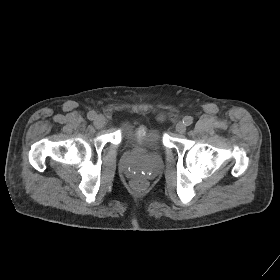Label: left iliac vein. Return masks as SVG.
Here are the masks:
<instances>
[{
  "mask_svg": "<svg viewBox=\"0 0 280 280\" xmlns=\"http://www.w3.org/2000/svg\"><path fill=\"white\" fill-rule=\"evenodd\" d=\"M176 131L179 133V134H184L186 132V125L182 122V121H179L177 124H176Z\"/></svg>",
  "mask_w": 280,
  "mask_h": 280,
  "instance_id": "4c4485c4",
  "label": "left iliac vein"
}]
</instances>
